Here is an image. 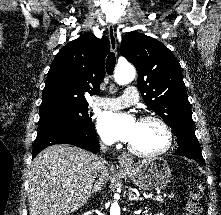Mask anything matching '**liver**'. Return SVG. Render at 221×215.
Instances as JSON below:
<instances>
[{
    "instance_id": "liver-1",
    "label": "liver",
    "mask_w": 221,
    "mask_h": 215,
    "mask_svg": "<svg viewBox=\"0 0 221 215\" xmlns=\"http://www.w3.org/2000/svg\"><path fill=\"white\" fill-rule=\"evenodd\" d=\"M104 164L69 144L52 145L33 160L28 179L29 215H68L89 199ZM106 179L108 171L105 168Z\"/></svg>"
}]
</instances>
